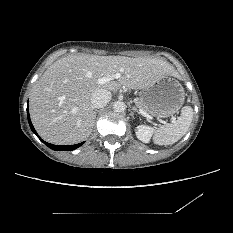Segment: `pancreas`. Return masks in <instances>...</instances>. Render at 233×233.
<instances>
[{
    "label": "pancreas",
    "instance_id": "pancreas-1",
    "mask_svg": "<svg viewBox=\"0 0 233 233\" xmlns=\"http://www.w3.org/2000/svg\"><path fill=\"white\" fill-rule=\"evenodd\" d=\"M136 105H137L140 109H142L143 111L147 112V109H146V107L144 106V104H143V102H142L141 100H137V101H136Z\"/></svg>",
    "mask_w": 233,
    "mask_h": 233
}]
</instances>
